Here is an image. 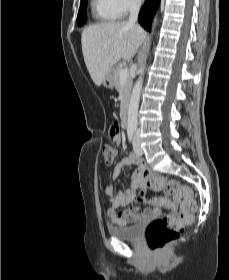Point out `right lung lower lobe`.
<instances>
[{
    "label": "right lung lower lobe",
    "instance_id": "obj_1",
    "mask_svg": "<svg viewBox=\"0 0 229 280\" xmlns=\"http://www.w3.org/2000/svg\"><path fill=\"white\" fill-rule=\"evenodd\" d=\"M160 0H147L139 13V23L150 31L151 22Z\"/></svg>",
    "mask_w": 229,
    "mask_h": 280
}]
</instances>
